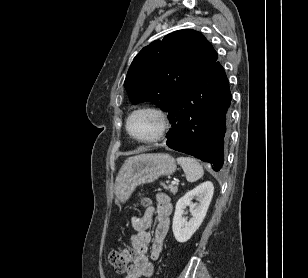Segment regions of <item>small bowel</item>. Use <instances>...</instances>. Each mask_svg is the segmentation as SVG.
Masks as SVG:
<instances>
[{"label":"small bowel","instance_id":"1","mask_svg":"<svg viewBox=\"0 0 308 278\" xmlns=\"http://www.w3.org/2000/svg\"><path fill=\"white\" fill-rule=\"evenodd\" d=\"M172 204L170 198L159 193L155 197V205L149 206L140 217L131 219L135 230L130 243L135 251L133 263L125 271V278H149L153 274L152 262L157 260L163 249V241L168 233ZM156 228L152 233L153 221ZM151 246L150 254L148 247Z\"/></svg>","mask_w":308,"mask_h":278}]
</instances>
